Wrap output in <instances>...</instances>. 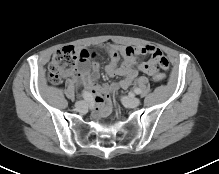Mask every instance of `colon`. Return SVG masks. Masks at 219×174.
Returning <instances> with one entry per match:
<instances>
[{
	"instance_id": "colon-1",
	"label": "colon",
	"mask_w": 219,
	"mask_h": 174,
	"mask_svg": "<svg viewBox=\"0 0 219 174\" xmlns=\"http://www.w3.org/2000/svg\"><path fill=\"white\" fill-rule=\"evenodd\" d=\"M81 55L75 52L72 47H64L57 50L48 68L49 80L52 83H59L65 76L73 73L81 59ZM154 82L163 83L165 80L164 73H158L153 77Z\"/></svg>"
}]
</instances>
